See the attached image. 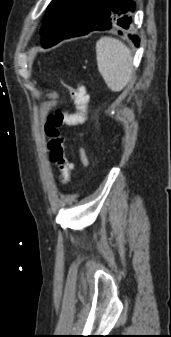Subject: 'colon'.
Here are the masks:
<instances>
[{
  "mask_svg": "<svg viewBox=\"0 0 171 337\" xmlns=\"http://www.w3.org/2000/svg\"><path fill=\"white\" fill-rule=\"evenodd\" d=\"M68 89L72 108L55 109L51 112L45 123V134L48 138L47 148L50 159L57 165L59 181L68 184L74 164L71 161L66 148V140L60 132L63 126L82 125L86 121L89 96L86 87L80 83H63Z\"/></svg>",
  "mask_w": 171,
  "mask_h": 337,
  "instance_id": "1",
  "label": "colon"
}]
</instances>
